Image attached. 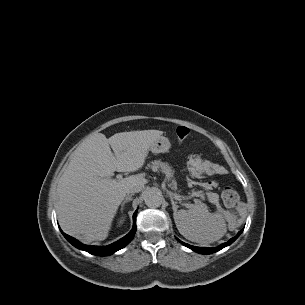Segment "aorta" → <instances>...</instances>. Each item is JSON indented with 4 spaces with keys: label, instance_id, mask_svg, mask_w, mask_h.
I'll return each instance as SVG.
<instances>
[{
    "label": "aorta",
    "instance_id": "obj_1",
    "mask_svg": "<svg viewBox=\"0 0 305 305\" xmlns=\"http://www.w3.org/2000/svg\"><path fill=\"white\" fill-rule=\"evenodd\" d=\"M145 204L150 208H157L161 206L163 198L156 190H148L144 195Z\"/></svg>",
    "mask_w": 305,
    "mask_h": 305
}]
</instances>
